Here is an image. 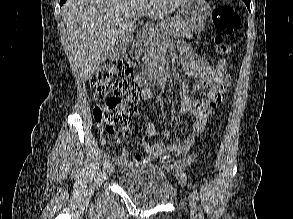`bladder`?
Wrapping results in <instances>:
<instances>
[{"label":"bladder","instance_id":"obj_1","mask_svg":"<svg viewBox=\"0 0 293 219\" xmlns=\"http://www.w3.org/2000/svg\"><path fill=\"white\" fill-rule=\"evenodd\" d=\"M118 185L133 201L146 207L168 204L177 197L168 176L154 165L131 166L121 171Z\"/></svg>","mask_w":293,"mask_h":219}]
</instances>
